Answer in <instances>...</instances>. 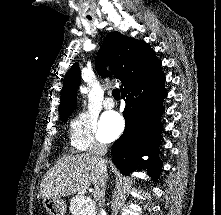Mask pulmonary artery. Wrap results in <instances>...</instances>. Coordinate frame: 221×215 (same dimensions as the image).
<instances>
[{
  "label": "pulmonary artery",
  "instance_id": "e3ab8cb5",
  "mask_svg": "<svg viewBox=\"0 0 221 215\" xmlns=\"http://www.w3.org/2000/svg\"><path fill=\"white\" fill-rule=\"evenodd\" d=\"M114 105H115L114 100L110 97L106 98L103 102V106L105 109H112Z\"/></svg>",
  "mask_w": 221,
  "mask_h": 215
}]
</instances>
